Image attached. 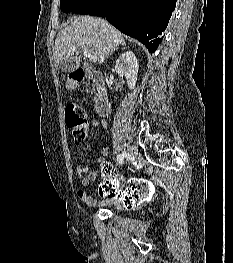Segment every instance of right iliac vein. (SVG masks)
<instances>
[{"label": "right iliac vein", "mask_w": 233, "mask_h": 263, "mask_svg": "<svg viewBox=\"0 0 233 263\" xmlns=\"http://www.w3.org/2000/svg\"><path fill=\"white\" fill-rule=\"evenodd\" d=\"M126 153L130 158H135L138 154L137 150L134 147H129Z\"/></svg>", "instance_id": "1"}]
</instances>
